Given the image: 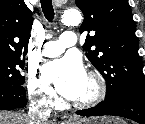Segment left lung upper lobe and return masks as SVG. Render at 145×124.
Wrapping results in <instances>:
<instances>
[{
    "instance_id": "obj_1",
    "label": "left lung upper lobe",
    "mask_w": 145,
    "mask_h": 124,
    "mask_svg": "<svg viewBox=\"0 0 145 124\" xmlns=\"http://www.w3.org/2000/svg\"><path fill=\"white\" fill-rule=\"evenodd\" d=\"M76 5L84 14L80 32L92 31L83 49L106 80L105 99L123 92L145 95L136 24L128 0H76Z\"/></svg>"
}]
</instances>
